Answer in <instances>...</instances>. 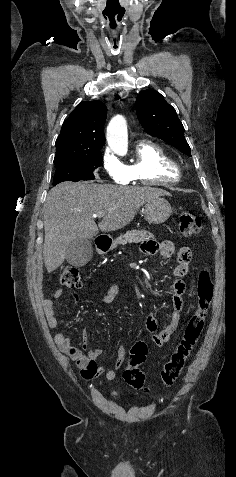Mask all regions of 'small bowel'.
Here are the masks:
<instances>
[{
    "label": "small bowel",
    "mask_w": 236,
    "mask_h": 477,
    "mask_svg": "<svg viewBox=\"0 0 236 477\" xmlns=\"http://www.w3.org/2000/svg\"><path fill=\"white\" fill-rule=\"evenodd\" d=\"M175 245L170 240L162 241L161 243H156L154 241H146L142 244V252L145 255L153 256L155 254L161 255L163 258H171L175 254ZM191 251L187 247H182L177 252L178 264L174 269V276L176 278H181L185 276L190 268L191 262ZM120 290L119 284L112 283L107 287L103 296L102 302L104 304H110L118 295ZM185 294V285L184 283L176 279L173 283V293H172V312L170 320L167 325L160 331H158L157 321L154 317L150 316L147 319L146 327L148 331L152 334L153 342L156 347L165 346L173 333L177 330L181 314L183 310V296ZM63 296L62 290H57L53 294L52 299H46L42 303V308L48 326L51 329H56L58 326V320L56 317L54 300H59ZM54 341L61 350L70 360L74 361L80 369L81 376L85 379H91L98 376H104L107 380H113L116 377L117 369H120L126 358V347L119 346L117 349V356L114 363V369L105 370L102 366L98 365L96 359L101 355L102 349L95 348L87 352H83L81 349L73 346L70 342V339L63 333H57L54 335ZM84 349L87 347L88 341V330H85L83 333Z\"/></svg>",
    "instance_id": "obj_1"
}]
</instances>
